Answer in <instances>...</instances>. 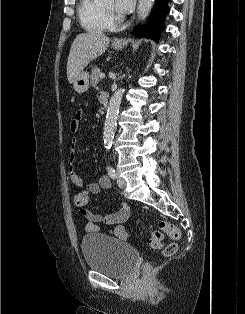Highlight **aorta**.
I'll return each instance as SVG.
<instances>
[{
  "label": "aorta",
  "instance_id": "1",
  "mask_svg": "<svg viewBox=\"0 0 245 314\" xmlns=\"http://www.w3.org/2000/svg\"><path fill=\"white\" fill-rule=\"evenodd\" d=\"M153 3L154 0H139L137 7L138 20L143 21L149 15ZM123 93V89H118L109 102L103 133L104 147L107 150H109L112 146V141L116 129V120L119 113V107L121 104Z\"/></svg>",
  "mask_w": 245,
  "mask_h": 314
}]
</instances>
